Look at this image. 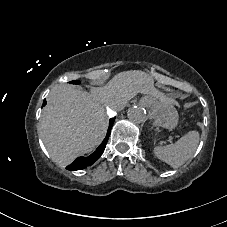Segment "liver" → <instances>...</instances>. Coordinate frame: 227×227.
<instances>
[{"instance_id":"1","label":"liver","mask_w":227,"mask_h":227,"mask_svg":"<svg viewBox=\"0 0 227 227\" xmlns=\"http://www.w3.org/2000/svg\"><path fill=\"white\" fill-rule=\"evenodd\" d=\"M138 93H155L152 78L140 71L116 75L105 88H94L93 95L70 84L54 87L39 123V133L52 160L66 164L92 151L107 129L103 106L114 108L113 100H128Z\"/></svg>"}]
</instances>
